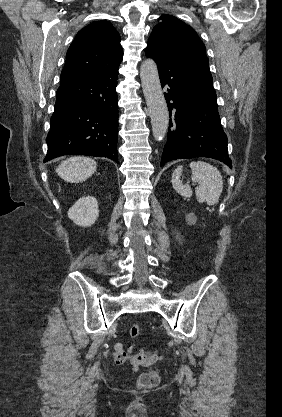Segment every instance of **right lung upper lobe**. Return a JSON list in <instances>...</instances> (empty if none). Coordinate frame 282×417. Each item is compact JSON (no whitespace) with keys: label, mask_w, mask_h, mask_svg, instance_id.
Segmentation results:
<instances>
[{"label":"right lung upper lobe","mask_w":282,"mask_h":417,"mask_svg":"<svg viewBox=\"0 0 282 417\" xmlns=\"http://www.w3.org/2000/svg\"><path fill=\"white\" fill-rule=\"evenodd\" d=\"M120 35L107 21L81 29L67 51L60 83L119 67L123 58Z\"/></svg>","instance_id":"cb5924a9"}]
</instances>
